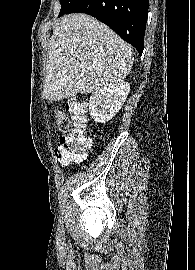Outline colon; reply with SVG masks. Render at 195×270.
Returning <instances> with one entry per match:
<instances>
[{"label": "colon", "instance_id": "obj_1", "mask_svg": "<svg viewBox=\"0 0 195 270\" xmlns=\"http://www.w3.org/2000/svg\"><path fill=\"white\" fill-rule=\"evenodd\" d=\"M55 118L58 129L64 133L55 149L56 158L64 165L81 160L90 144L86 104L76 98L70 99L66 111L55 110Z\"/></svg>", "mask_w": 195, "mask_h": 270}]
</instances>
